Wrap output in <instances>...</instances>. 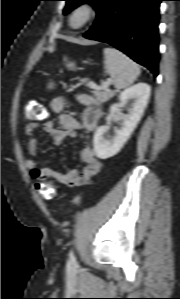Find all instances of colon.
Returning a JSON list of instances; mask_svg holds the SVG:
<instances>
[{
  "label": "colon",
  "instance_id": "1",
  "mask_svg": "<svg viewBox=\"0 0 180 299\" xmlns=\"http://www.w3.org/2000/svg\"><path fill=\"white\" fill-rule=\"evenodd\" d=\"M25 116L32 121H41L47 118L48 111L43 104L36 100H31L27 104ZM36 188L45 199H53L56 195L55 186L52 181L39 182L36 184ZM78 201L79 199L76 198L75 202Z\"/></svg>",
  "mask_w": 180,
  "mask_h": 299
}]
</instances>
